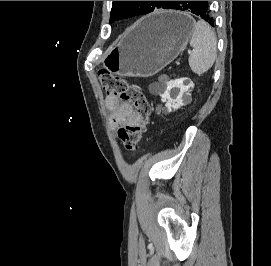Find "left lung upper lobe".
<instances>
[{"label":"left lung upper lobe","instance_id":"left-lung-upper-lobe-1","mask_svg":"<svg viewBox=\"0 0 271 266\" xmlns=\"http://www.w3.org/2000/svg\"><path fill=\"white\" fill-rule=\"evenodd\" d=\"M174 1H113L110 23L115 20L150 13L156 9H168Z\"/></svg>","mask_w":271,"mask_h":266}]
</instances>
